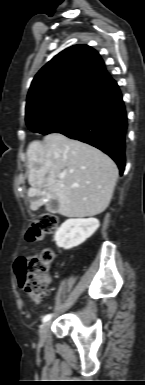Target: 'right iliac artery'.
Wrapping results in <instances>:
<instances>
[{
	"label": "right iliac artery",
	"instance_id": "82829eb1",
	"mask_svg": "<svg viewBox=\"0 0 145 385\" xmlns=\"http://www.w3.org/2000/svg\"><path fill=\"white\" fill-rule=\"evenodd\" d=\"M51 318H52V315L47 314L46 316L43 317V322L45 323V322L49 321Z\"/></svg>",
	"mask_w": 145,
	"mask_h": 385
}]
</instances>
